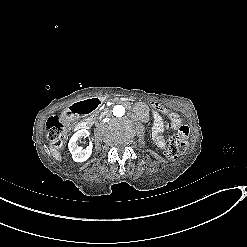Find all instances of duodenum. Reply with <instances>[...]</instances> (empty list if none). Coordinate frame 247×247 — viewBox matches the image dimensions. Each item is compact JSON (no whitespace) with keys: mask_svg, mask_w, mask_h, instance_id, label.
I'll return each mask as SVG.
<instances>
[{"mask_svg":"<svg viewBox=\"0 0 247 247\" xmlns=\"http://www.w3.org/2000/svg\"><path fill=\"white\" fill-rule=\"evenodd\" d=\"M101 105V100L99 98H88L78 102L73 103L67 109V115L70 118H76L78 116L91 113L96 110ZM90 128V122L81 121L78 123L77 130H86Z\"/></svg>","mask_w":247,"mask_h":247,"instance_id":"1","label":"duodenum"}]
</instances>
